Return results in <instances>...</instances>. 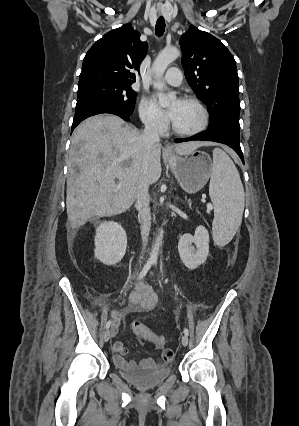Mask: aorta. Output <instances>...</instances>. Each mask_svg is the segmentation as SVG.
I'll use <instances>...</instances> for the list:
<instances>
[{"label": "aorta", "mask_w": 299, "mask_h": 426, "mask_svg": "<svg viewBox=\"0 0 299 426\" xmlns=\"http://www.w3.org/2000/svg\"><path fill=\"white\" fill-rule=\"evenodd\" d=\"M180 55L179 50L176 47L166 48L158 54L154 63L152 65V72L154 75L153 87L158 91L162 92L165 90L166 86L162 77L169 66L170 63L175 61ZM175 98L174 93L161 94L159 96V104L163 107H166L170 102ZM163 240V230H160L158 236L156 237L155 243L153 245L150 260L156 262L158 259L160 245Z\"/></svg>", "instance_id": "762f6f07"}]
</instances>
